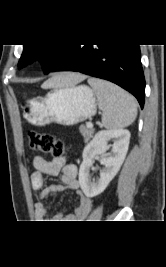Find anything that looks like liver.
<instances>
[{"label":"liver","mask_w":166,"mask_h":267,"mask_svg":"<svg viewBox=\"0 0 166 267\" xmlns=\"http://www.w3.org/2000/svg\"><path fill=\"white\" fill-rule=\"evenodd\" d=\"M87 76L80 73H64L43 83L42 88H55V87H66V86H75L76 84L82 82L86 79Z\"/></svg>","instance_id":"obj_1"}]
</instances>
